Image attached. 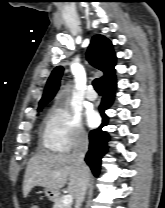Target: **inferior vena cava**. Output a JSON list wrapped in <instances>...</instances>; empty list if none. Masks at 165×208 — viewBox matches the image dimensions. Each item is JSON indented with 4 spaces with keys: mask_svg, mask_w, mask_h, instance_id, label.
I'll list each match as a JSON object with an SVG mask.
<instances>
[{
    "mask_svg": "<svg viewBox=\"0 0 165 208\" xmlns=\"http://www.w3.org/2000/svg\"><path fill=\"white\" fill-rule=\"evenodd\" d=\"M88 136L85 132H80L76 143L74 145L71 157L78 169V172L80 173L81 176V189L79 192V195L77 196L76 199V204H75V208H80L84 198H85V194H86V190H87V186L89 183V178H88V167L84 162V157L85 154L88 150Z\"/></svg>",
    "mask_w": 165,
    "mask_h": 208,
    "instance_id": "obj_1",
    "label": "inferior vena cava"
}]
</instances>
